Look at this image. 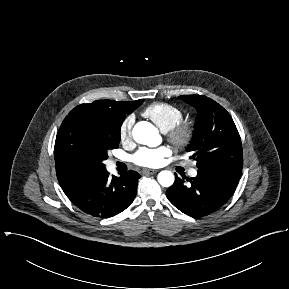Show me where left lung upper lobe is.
Masks as SVG:
<instances>
[{
  "instance_id": "obj_1",
  "label": "left lung upper lobe",
  "mask_w": 289,
  "mask_h": 289,
  "mask_svg": "<svg viewBox=\"0 0 289 289\" xmlns=\"http://www.w3.org/2000/svg\"><path fill=\"white\" fill-rule=\"evenodd\" d=\"M198 111L187 152L199 169H219L241 176L243 151L240 135L230 114L214 100L202 95L179 97Z\"/></svg>"
}]
</instances>
